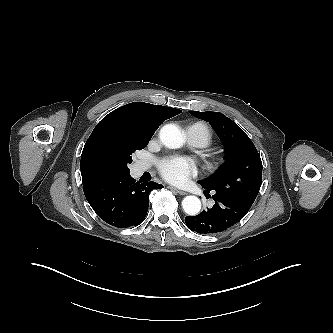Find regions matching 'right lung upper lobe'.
<instances>
[{"mask_svg": "<svg viewBox=\"0 0 333 333\" xmlns=\"http://www.w3.org/2000/svg\"><path fill=\"white\" fill-rule=\"evenodd\" d=\"M181 112V110L171 107L133 102L106 115L94 128L82 151L80 169L83 185L106 176L104 170L92 156L95 138L101 130L116 127L138 136L152 137L166 119Z\"/></svg>", "mask_w": 333, "mask_h": 333, "instance_id": "1", "label": "right lung upper lobe"}]
</instances>
